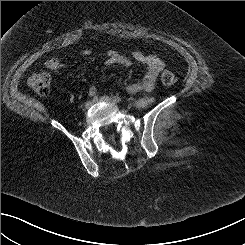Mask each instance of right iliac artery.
Segmentation results:
<instances>
[{"label":"right iliac artery","instance_id":"82829eb1","mask_svg":"<svg viewBox=\"0 0 245 245\" xmlns=\"http://www.w3.org/2000/svg\"><path fill=\"white\" fill-rule=\"evenodd\" d=\"M97 100H98V96L95 95V96L93 97V102H96Z\"/></svg>","mask_w":245,"mask_h":245}]
</instances>
